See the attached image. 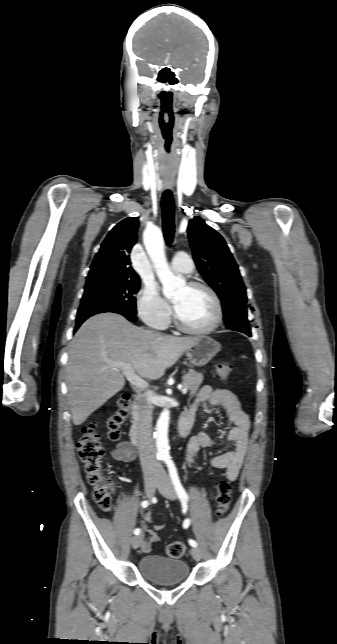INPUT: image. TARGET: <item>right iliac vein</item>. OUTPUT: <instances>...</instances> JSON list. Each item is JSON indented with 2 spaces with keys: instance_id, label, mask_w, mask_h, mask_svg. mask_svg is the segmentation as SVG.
<instances>
[{
  "instance_id": "63e3f726",
  "label": "right iliac vein",
  "mask_w": 337,
  "mask_h": 644,
  "mask_svg": "<svg viewBox=\"0 0 337 644\" xmlns=\"http://www.w3.org/2000/svg\"><path fill=\"white\" fill-rule=\"evenodd\" d=\"M159 483V478L156 475H149L145 478V493L146 495L151 498L154 495L155 489ZM143 539V535H137L134 536L131 540V545L133 549H137L141 541Z\"/></svg>"
}]
</instances>
